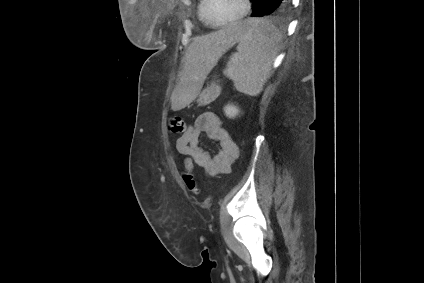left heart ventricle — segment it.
Returning <instances> with one entry per match:
<instances>
[{"instance_id": "left-heart-ventricle-1", "label": "left heart ventricle", "mask_w": 424, "mask_h": 283, "mask_svg": "<svg viewBox=\"0 0 424 283\" xmlns=\"http://www.w3.org/2000/svg\"><path fill=\"white\" fill-rule=\"evenodd\" d=\"M243 10V0H210L208 19L213 24L238 16Z\"/></svg>"}]
</instances>
